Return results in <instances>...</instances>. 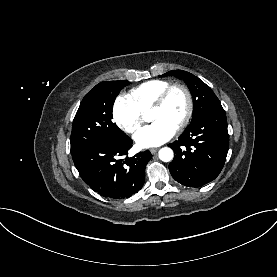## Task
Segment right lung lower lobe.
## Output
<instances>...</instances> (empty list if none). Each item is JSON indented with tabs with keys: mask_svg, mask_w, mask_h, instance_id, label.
Wrapping results in <instances>:
<instances>
[{
	"mask_svg": "<svg viewBox=\"0 0 277 277\" xmlns=\"http://www.w3.org/2000/svg\"><path fill=\"white\" fill-rule=\"evenodd\" d=\"M132 140H102L72 153L73 162L83 181L100 195L112 199L126 198L138 192L145 181V167L150 151L128 154Z\"/></svg>",
	"mask_w": 277,
	"mask_h": 277,
	"instance_id": "98d812e1",
	"label": "right lung lower lobe"
}]
</instances>
